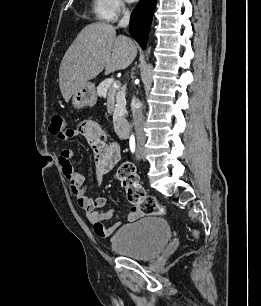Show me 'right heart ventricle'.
Segmentation results:
<instances>
[{"mask_svg": "<svg viewBox=\"0 0 261 306\" xmlns=\"http://www.w3.org/2000/svg\"><path fill=\"white\" fill-rule=\"evenodd\" d=\"M94 6L97 7V0L94 1Z\"/></svg>", "mask_w": 261, "mask_h": 306, "instance_id": "obj_1", "label": "right heart ventricle"}]
</instances>
